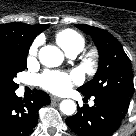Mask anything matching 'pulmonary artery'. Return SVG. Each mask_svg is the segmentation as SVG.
<instances>
[{
    "mask_svg": "<svg viewBox=\"0 0 136 136\" xmlns=\"http://www.w3.org/2000/svg\"><path fill=\"white\" fill-rule=\"evenodd\" d=\"M78 53H79L78 51H74V52L68 53V55L73 58V57H75Z\"/></svg>",
    "mask_w": 136,
    "mask_h": 136,
    "instance_id": "obj_1",
    "label": "pulmonary artery"
}]
</instances>
